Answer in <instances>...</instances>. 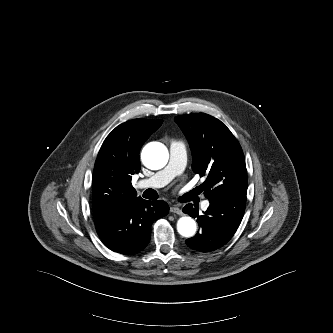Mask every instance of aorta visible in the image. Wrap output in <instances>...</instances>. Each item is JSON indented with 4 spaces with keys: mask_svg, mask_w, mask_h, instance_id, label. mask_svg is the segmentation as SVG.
<instances>
[{
    "mask_svg": "<svg viewBox=\"0 0 333 333\" xmlns=\"http://www.w3.org/2000/svg\"><path fill=\"white\" fill-rule=\"evenodd\" d=\"M168 158L167 148L159 142L147 144L141 154L143 164L151 170L163 168L167 164ZM196 229V222L189 216L181 217L177 222V231L183 237H193Z\"/></svg>",
    "mask_w": 333,
    "mask_h": 333,
    "instance_id": "aorta-1",
    "label": "aorta"
}]
</instances>
